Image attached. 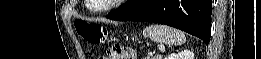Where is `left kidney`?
<instances>
[{"label": "left kidney", "instance_id": "left-kidney-1", "mask_svg": "<svg viewBox=\"0 0 261 59\" xmlns=\"http://www.w3.org/2000/svg\"><path fill=\"white\" fill-rule=\"evenodd\" d=\"M165 59H194V53L189 50H184L179 53L169 54Z\"/></svg>", "mask_w": 261, "mask_h": 59}]
</instances>
